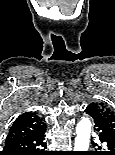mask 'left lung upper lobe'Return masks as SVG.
Masks as SVG:
<instances>
[{"label":"left lung upper lobe","mask_w":115,"mask_h":155,"mask_svg":"<svg viewBox=\"0 0 115 155\" xmlns=\"http://www.w3.org/2000/svg\"><path fill=\"white\" fill-rule=\"evenodd\" d=\"M95 105L99 107V109L102 113V116L107 123V126H108L110 133H111V136L115 140V113L111 109H109L103 105H99V104H95ZM107 151L108 152H110V151L115 152V146L112 148V150H107Z\"/></svg>","instance_id":"left-lung-upper-lobe-1"}]
</instances>
